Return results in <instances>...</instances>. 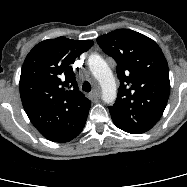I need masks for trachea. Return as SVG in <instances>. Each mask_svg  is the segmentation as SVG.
Here are the masks:
<instances>
[{
	"instance_id": "trachea-1",
	"label": "trachea",
	"mask_w": 187,
	"mask_h": 187,
	"mask_svg": "<svg viewBox=\"0 0 187 187\" xmlns=\"http://www.w3.org/2000/svg\"><path fill=\"white\" fill-rule=\"evenodd\" d=\"M82 89L85 91V92H90L91 91V85L89 82H85L82 86Z\"/></svg>"
}]
</instances>
